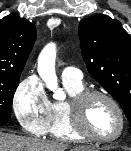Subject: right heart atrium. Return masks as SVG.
Instances as JSON below:
<instances>
[{"label": "right heart atrium", "instance_id": "1", "mask_svg": "<svg viewBox=\"0 0 131 151\" xmlns=\"http://www.w3.org/2000/svg\"><path fill=\"white\" fill-rule=\"evenodd\" d=\"M50 105L41 82L34 75L21 80L13 93L12 108L19 124L26 132L35 136L46 133Z\"/></svg>", "mask_w": 131, "mask_h": 151}]
</instances>
